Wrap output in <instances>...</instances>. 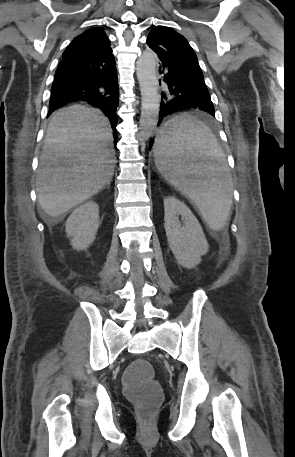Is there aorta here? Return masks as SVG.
<instances>
[{
	"label": "aorta",
	"mask_w": 295,
	"mask_h": 457,
	"mask_svg": "<svg viewBox=\"0 0 295 457\" xmlns=\"http://www.w3.org/2000/svg\"><path fill=\"white\" fill-rule=\"evenodd\" d=\"M136 71L142 97L140 135L148 139L156 129L160 109L156 55L152 51H144L136 62Z\"/></svg>",
	"instance_id": "1"
}]
</instances>
